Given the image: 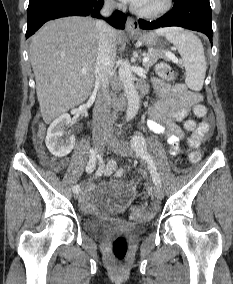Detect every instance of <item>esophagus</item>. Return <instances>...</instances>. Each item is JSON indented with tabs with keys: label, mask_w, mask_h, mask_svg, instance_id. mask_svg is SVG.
Here are the masks:
<instances>
[{
	"label": "esophagus",
	"mask_w": 233,
	"mask_h": 284,
	"mask_svg": "<svg viewBox=\"0 0 233 284\" xmlns=\"http://www.w3.org/2000/svg\"><path fill=\"white\" fill-rule=\"evenodd\" d=\"M126 30L128 33H137L139 32V24L132 17H128L126 21Z\"/></svg>",
	"instance_id": "34e87169"
}]
</instances>
